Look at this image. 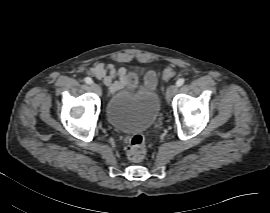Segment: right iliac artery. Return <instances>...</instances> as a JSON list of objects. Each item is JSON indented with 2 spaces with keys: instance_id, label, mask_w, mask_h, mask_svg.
Listing matches in <instances>:
<instances>
[{
  "instance_id": "right-iliac-artery-1",
  "label": "right iliac artery",
  "mask_w": 270,
  "mask_h": 213,
  "mask_svg": "<svg viewBox=\"0 0 270 213\" xmlns=\"http://www.w3.org/2000/svg\"><path fill=\"white\" fill-rule=\"evenodd\" d=\"M85 82H86L87 84H92V83H93V80H92L91 78H89V77H86V78H85Z\"/></svg>"
}]
</instances>
